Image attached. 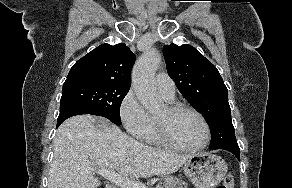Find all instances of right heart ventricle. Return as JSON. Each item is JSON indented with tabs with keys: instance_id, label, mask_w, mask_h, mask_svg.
<instances>
[{
	"instance_id": "1",
	"label": "right heart ventricle",
	"mask_w": 292,
	"mask_h": 188,
	"mask_svg": "<svg viewBox=\"0 0 292 188\" xmlns=\"http://www.w3.org/2000/svg\"><path fill=\"white\" fill-rule=\"evenodd\" d=\"M145 139L151 144H162V141L160 140L158 133H157L155 119H153V118H152L151 128H150L147 136L145 137Z\"/></svg>"
}]
</instances>
